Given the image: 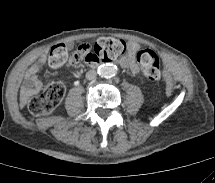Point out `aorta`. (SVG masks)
I'll return each mask as SVG.
<instances>
[{"label": "aorta", "instance_id": "obj_1", "mask_svg": "<svg viewBox=\"0 0 215 183\" xmlns=\"http://www.w3.org/2000/svg\"><path fill=\"white\" fill-rule=\"evenodd\" d=\"M117 73V67L113 64L106 63L98 67V74L104 78L113 77Z\"/></svg>", "mask_w": 215, "mask_h": 183}]
</instances>
